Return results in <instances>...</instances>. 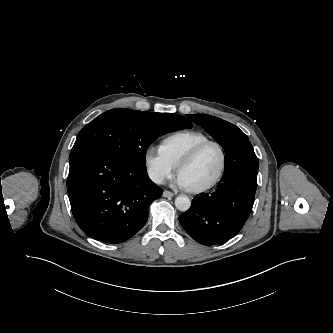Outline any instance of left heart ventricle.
I'll list each match as a JSON object with an SVG mask.
<instances>
[{"mask_svg": "<svg viewBox=\"0 0 333 333\" xmlns=\"http://www.w3.org/2000/svg\"><path fill=\"white\" fill-rule=\"evenodd\" d=\"M220 163L217 148L209 146L179 174L187 188L200 187L209 182L216 174Z\"/></svg>", "mask_w": 333, "mask_h": 333, "instance_id": "obj_1", "label": "left heart ventricle"}]
</instances>
